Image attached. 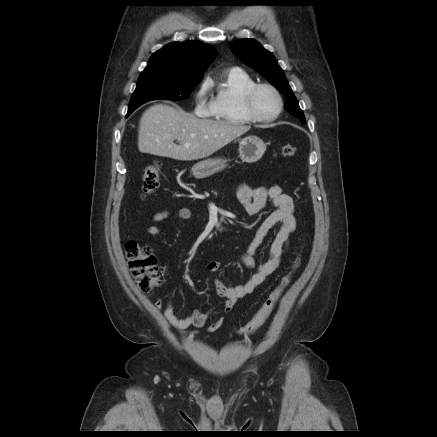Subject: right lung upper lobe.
<instances>
[{
	"label": "right lung upper lobe",
	"mask_w": 437,
	"mask_h": 437,
	"mask_svg": "<svg viewBox=\"0 0 437 437\" xmlns=\"http://www.w3.org/2000/svg\"><path fill=\"white\" fill-rule=\"evenodd\" d=\"M217 51L202 42H175L155 52L143 72L164 71L181 78L200 79Z\"/></svg>",
	"instance_id": "obj_1"
}]
</instances>
